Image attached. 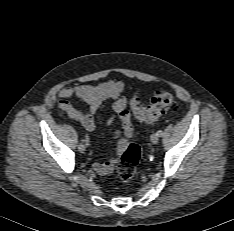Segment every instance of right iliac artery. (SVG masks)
Listing matches in <instances>:
<instances>
[{
	"label": "right iliac artery",
	"instance_id": "obj_1",
	"mask_svg": "<svg viewBox=\"0 0 234 231\" xmlns=\"http://www.w3.org/2000/svg\"><path fill=\"white\" fill-rule=\"evenodd\" d=\"M84 141H85L86 145H89V138L87 136L85 137Z\"/></svg>",
	"mask_w": 234,
	"mask_h": 231
}]
</instances>
